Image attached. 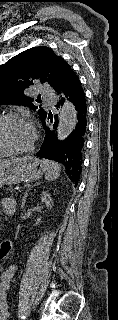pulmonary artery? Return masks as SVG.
<instances>
[{
    "instance_id": "obj_1",
    "label": "pulmonary artery",
    "mask_w": 118,
    "mask_h": 320,
    "mask_svg": "<svg viewBox=\"0 0 118 320\" xmlns=\"http://www.w3.org/2000/svg\"><path fill=\"white\" fill-rule=\"evenodd\" d=\"M42 97L45 101H54L55 100V95L47 89H43L42 92Z\"/></svg>"
}]
</instances>
